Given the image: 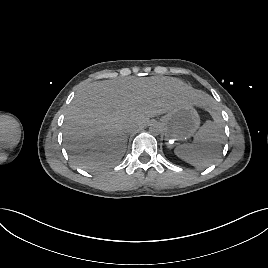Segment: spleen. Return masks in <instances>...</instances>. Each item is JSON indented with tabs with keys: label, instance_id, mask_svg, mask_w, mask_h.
I'll return each instance as SVG.
<instances>
[{
	"label": "spleen",
	"instance_id": "1",
	"mask_svg": "<svg viewBox=\"0 0 268 268\" xmlns=\"http://www.w3.org/2000/svg\"><path fill=\"white\" fill-rule=\"evenodd\" d=\"M212 117L213 121L207 120L194 135L192 144L175 149L179 158L198 169L212 165L222 152L223 120L217 112H212Z\"/></svg>",
	"mask_w": 268,
	"mask_h": 268
}]
</instances>
